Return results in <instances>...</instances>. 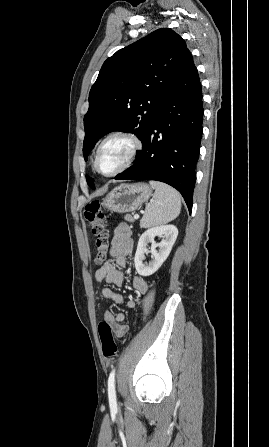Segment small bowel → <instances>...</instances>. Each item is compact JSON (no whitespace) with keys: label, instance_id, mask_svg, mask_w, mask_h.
Returning a JSON list of instances; mask_svg holds the SVG:
<instances>
[{"label":"small bowel","instance_id":"1","mask_svg":"<svg viewBox=\"0 0 269 447\" xmlns=\"http://www.w3.org/2000/svg\"><path fill=\"white\" fill-rule=\"evenodd\" d=\"M134 252V243L131 238V230L126 224H120L114 230V237L111 243L110 257L114 259L122 268L127 265V260ZM95 280L97 283L107 282L115 286L121 287L125 282L124 274L117 269L116 265L108 260L103 263L95 272ZM133 289L144 294L148 290V285L145 280L138 276L132 278ZM100 297L102 299L111 300L116 305H125L129 309L136 307V301L133 299H126L122 294L114 292L111 288L105 287L101 290ZM105 320L110 321L109 326L115 328L116 335L120 338L124 337L128 332V327L123 325L125 320L124 313L113 314L110 311L104 313Z\"/></svg>","mask_w":269,"mask_h":447}]
</instances>
